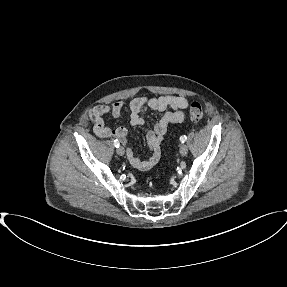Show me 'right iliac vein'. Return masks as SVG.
Segmentation results:
<instances>
[{"label":"right iliac vein","instance_id":"1","mask_svg":"<svg viewBox=\"0 0 287 287\" xmlns=\"http://www.w3.org/2000/svg\"><path fill=\"white\" fill-rule=\"evenodd\" d=\"M117 154L120 155V156H123L124 153H125V150L122 146L118 147L117 150H116Z\"/></svg>","mask_w":287,"mask_h":287}]
</instances>
